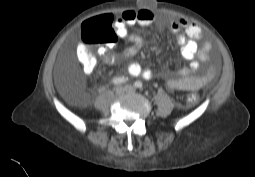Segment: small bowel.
Instances as JSON below:
<instances>
[{"label": "small bowel", "instance_id": "c3829d8e", "mask_svg": "<svg viewBox=\"0 0 255 177\" xmlns=\"http://www.w3.org/2000/svg\"><path fill=\"white\" fill-rule=\"evenodd\" d=\"M110 24H113V31L121 38L130 42V45L120 51L118 54H113L107 50H103V57L106 63H113L116 59H125L135 56L142 47V39L129 32L128 28L134 25L148 26L158 20H162L156 12L151 9L143 8L140 10H125L121 15L114 20L110 14L105 15ZM170 30L176 35V42L180 47L181 56L189 62L188 66L179 69L174 76L167 77L166 85L173 91H194L204 87L213 78V69H210L204 75H195L201 62H206L209 59L212 44L210 41H205L202 45L198 44L201 38V28L192 22L181 18L167 20ZM82 48V47H81ZM81 50V49H80ZM80 52V51H79ZM85 72L89 73L94 67L87 66L81 62ZM127 71L132 76H141L145 79L152 77V72L144 69L137 62H131Z\"/></svg>", "mask_w": 255, "mask_h": 177}]
</instances>
